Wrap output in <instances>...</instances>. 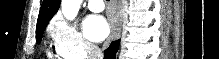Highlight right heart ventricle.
<instances>
[{
	"instance_id": "obj_1",
	"label": "right heart ventricle",
	"mask_w": 219,
	"mask_h": 59,
	"mask_svg": "<svg viewBox=\"0 0 219 59\" xmlns=\"http://www.w3.org/2000/svg\"><path fill=\"white\" fill-rule=\"evenodd\" d=\"M55 51H56V50H55ZM47 55H48L49 57H53V54H52L50 51L47 52ZM56 55L59 56L60 58L65 59V58L62 57V55H60L57 51H56Z\"/></svg>"
}]
</instances>
